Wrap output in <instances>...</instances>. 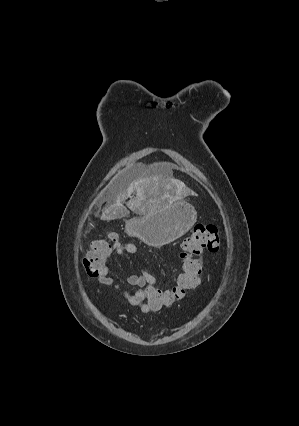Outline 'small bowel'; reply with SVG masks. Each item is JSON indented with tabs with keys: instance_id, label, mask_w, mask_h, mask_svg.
<instances>
[{
	"instance_id": "1",
	"label": "small bowel",
	"mask_w": 299,
	"mask_h": 426,
	"mask_svg": "<svg viewBox=\"0 0 299 426\" xmlns=\"http://www.w3.org/2000/svg\"><path fill=\"white\" fill-rule=\"evenodd\" d=\"M112 252L120 256L126 254L137 255L138 249L133 243L117 242L113 245L111 249V253ZM198 261L202 267V262L200 260ZM97 279L101 285L110 286L120 291L126 302L131 306L138 307L145 313L155 311L146 302L144 289L146 285L150 283L160 284L161 282L157 276L147 271L146 269H142L139 274H131L127 277V283L134 289V291H129L123 288L117 281H115L109 275V269L106 264L101 270Z\"/></svg>"
}]
</instances>
